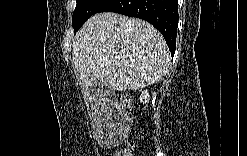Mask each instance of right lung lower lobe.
Instances as JSON below:
<instances>
[{
    "mask_svg": "<svg viewBox=\"0 0 247 156\" xmlns=\"http://www.w3.org/2000/svg\"><path fill=\"white\" fill-rule=\"evenodd\" d=\"M99 12H116L150 22L162 33L171 55H174L178 0H107Z\"/></svg>",
    "mask_w": 247,
    "mask_h": 156,
    "instance_id": "98d812e1",
    "label": "right lung lower lobe"
}]
</instances>
